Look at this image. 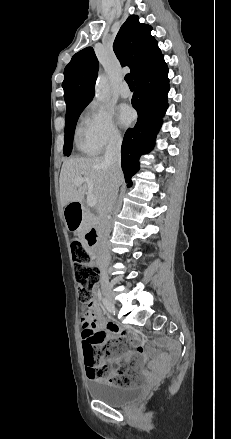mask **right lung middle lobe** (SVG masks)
<instances>
[{
  "mask_svg": "<svg viewBox=\"0 0 231 439\" xmlns=\"http://www.w3.org/2000/svg\"><path fill=\"white\" fill-rule=\"evenodd\" d=\"M87 105L88 103L66 110L65 141L63 147V152L66 156H69L72 151L74 130L78 117Z\"/></svg>",
  "mask_w": 231,
  "mask_h": 439,
  "instance_id": "right-lung-middle-lobe-1",
  "label": "right lung middle lobe"
}]
</instances>
